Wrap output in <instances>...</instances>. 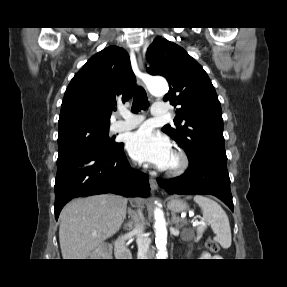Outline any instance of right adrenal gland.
I'll return each mask as SVG.
<instances>
[{
	"instance_id": "right-adrenal-gland-1",
	"label": "right adrenal gland",
	"mask_w": 287,
	"mask_h": 287,
	"mask_svg": "<svg viewBox=\"0 0 287 287\" xmlns=\"http://www.w3.org/2000/svg\"><path fill=\"white\" fill-rule=\"evenodd\" d=\"M124 226L129 228V230H131L133 228V222L129 221V222L125 223Z\"/></svg>"
}]
</instances>
